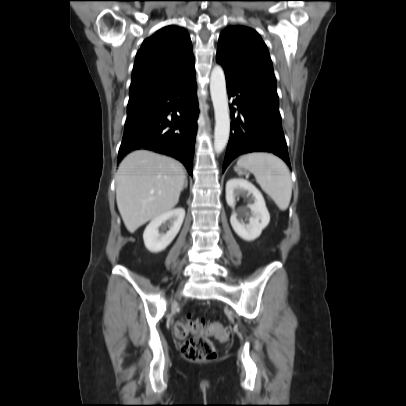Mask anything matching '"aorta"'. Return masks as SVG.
<instances>
[{
  "mask_svg": "<svg viewBox=\"0 0 406 406\" xmlns=\"http://www.w3.org/2000/svg\"><path fill=\"white\" fill-rule=\"evenodd\" d=\"M210 93L215 114L214 148L220 153L226 147L230 134V113L223 68L214 66L210 76Z\"/></svg>",
  "mask_w": 406,
  "mask_h": 406,
  "instance_id": "762f6f07",
  "label": "aorta"
}]
</instances>
